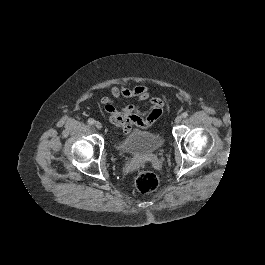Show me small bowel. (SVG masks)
<instances>
[{"label": "small bowel", "mask_w": 265, "mask_h": 265, "mask_svg": "<svg viewBox=\"0 0 265 265\" xmlns=\"http://www.w3.org/2000/svg\"><path fill=\"white\" fill-rule=\"evenodd\" d=\"M110 93L112 97L101 98L100 105L108 114L109 121L121 127L124 132H129L133 126L150 127L160 117L166 104V100L152 97L150 89L144 85H136L131 88L112 86ZM122 98H135L140 102L148 103L150 107L145 112L140 111L138 106L133 103L118 107L116 102Z\"/></svg>", "instance_id": "1"}]
</instances>
